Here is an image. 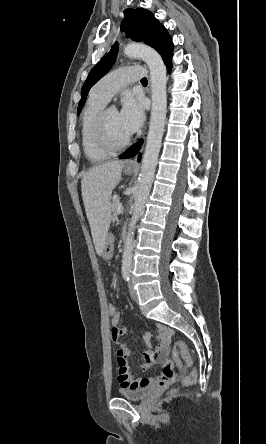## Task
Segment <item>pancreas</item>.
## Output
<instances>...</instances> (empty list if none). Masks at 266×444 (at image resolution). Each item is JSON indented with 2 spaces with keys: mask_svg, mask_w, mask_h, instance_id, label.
<instances>
[{
  "mask_svg": "<svg viewBox=\"0 0 266 444\" xmlns=\"http://www.w3.org/2000/svg\"><path fill=\"white\" fill-rule=\"evenodd\" d=\"M119 203V199L118 198H113L112 199V204H111V210H112V219L115 220L117 218V206Z\"/></svg>",
  "mask_w": 266,
  "mask_h": 444,
  "instance_id": "obj_1",
  "label": "pancreas"
}]
</instances>
